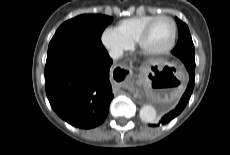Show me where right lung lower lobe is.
<instances>
[{
  "label": "right lung lower lobe",
  "instance_id": "obj_1",
  "mask_svg": "<svg viewBox=\"0 0 230 155\" xmlns=\"http://www.w3.org/2000/svg\"><path fill=\"white\" fill-rule=\"evenodd\" d=\"M111 64L107 51L64 54L47 60L45 88L53 110L75 127L100 125L114 97L109 81Z\"/></svg>",
  "mask_w": 230,
  "mask_h": 155
}]
</instances>
